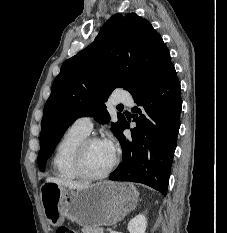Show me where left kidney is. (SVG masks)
<instances>
[{
    "instance_id": "left-kidney-1",
    "label": "left kidney",
    "mask_w": 227,
    "mask_h": 233,
    "mask_svg": "<svg viewBox=\"0 0 227 233\" xmlns=\"http://www.w3.org/2000/svg\"><path fill=\"white\" fill-rule=\"evenodd\" d=\"M147 227V219L143 214L137 215L128 223V231L130 233H145Z\"/></svg>"
}]
</instances>
